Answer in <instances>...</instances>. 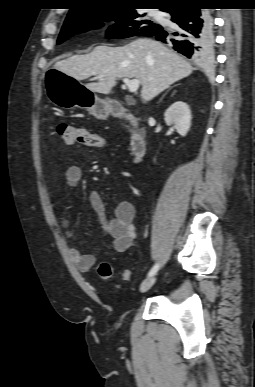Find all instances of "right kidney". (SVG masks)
Masks as SVG:
<instances>
[{
  "label": "right kidney",
  "mask_w": 255,
  "mask_h": 387,
  "mask_svg": "<svg viewBox=\"0 0 255 387\" xmlns=\"http://www.w3.org/2000/svg\"><path fill=\"white\" fill-rule=\"evenodd\" d=\"M164 119L168 125H173L181 136H185L191 126V111L189 106L182 101L173 103L166 110Z\"/></svg>",
  "instance_id": "ca27d5eb"
}]
</instances>
